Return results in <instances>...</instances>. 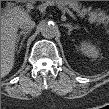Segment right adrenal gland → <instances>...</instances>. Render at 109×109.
I'll list each match as a JSON object with an SVG mask.
<instances>
[{"label": "right adrenal gland", "mask_w": 109, "mask_h": 109, "mask_svg": "<svg viewBox=\"0 0 109 109\" xmlns=\"http://www.w3.org/2000/svg\"><path fill=\"white\" fill-rule=\"evenodd\" d=\"M29 32H30L29 30H27V31H24V30H23V31H21L19 34H17V45H18V43H19L20 37L23 35V39H22V41H21V43H20L18 52L21 51V48L23 47V43H24V41H25V39H26V35H27Z\"/></svg>", "instance_id": "1"}]
</instances>
